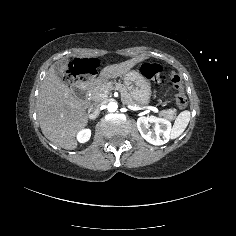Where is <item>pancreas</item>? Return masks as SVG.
I'll list each match as a JSON object with an SVG mask.
<instances>
[{"instance_id": "cf45deb5", "label": "pancreas", "mask_w": 236, "mask_h": 236, "mask_svg": "<svg viewBox=\"0 0 236 236\" xmlns=\"http://www.w3.org/2000/svg\"><path fill=\"white\" fill-rule=\"evenodd\" d=\"M113 89H117L121 94V102L125 105L132 106L138 105V103L131 97L129 92L120 84L113 82H105L97 86L90 88L89 92L91 93L90 100L92 102L98 103L108 98V95ZM158 115L165 117L170 120H175L177 116V110L172 109H163L158 111Z\"/></svg>"}]
</instances>
